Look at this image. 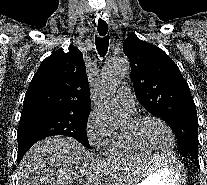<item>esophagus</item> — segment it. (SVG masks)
Listing matches in <instances>:
<instances>
[{"mask_svg":"<svg viewBox=\"0 0 207 185\" xmlns=\"http://www.w3.org/2000/svg\"><path fill=\"white\" fill-rule=\"evenodd\" d=\"M96 14H105V9H96ZM96 24H109V21L105 19V15H96ZM98 30H109V25H98ZM104 37V34H101Z\"/></svg>","mask_w":207,"mask_h":185,"instance_id":"34e87169","label":"esophagus"}]
</instances>
